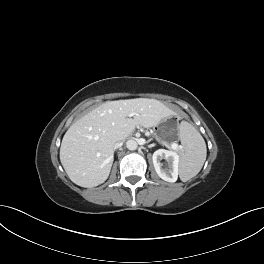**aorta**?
I'll return each instance as SVG.
<instances>
[{"mask_svg": "<svg viewBox=\"0 0 264 264\" xmlns=\"http://www.w3.org/2000/svg\"><path fill=\"white\" fill-rule=\"evenodd\" d=\"M126 147L129 150H136L138 148V143L135 140L130 139L126 142Z\"/></svg>", "mask_w": 264, "mask_h": 264, "instance_id": "aorta-1", "label": "aorta"}]
</instances>
